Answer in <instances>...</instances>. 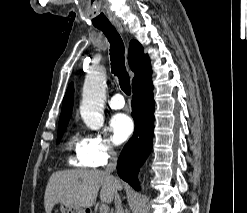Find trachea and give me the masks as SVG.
<instances>
[{
  "label": "trachea",
  "mask_w": 247,
  "mask_h": 213,
  "mask_svg": "<svg viewBox=\"0 0 247 213\" xmlns=\"http://www.w3.org/2000/svg\"><path fill=\"white\" fill-rule=\"evenodd\" d=\"M95 27L100 29L107 37L110 43V59L112 73L118 77L119 85L122 91L125 94L130 95V78L125 67L124 43L122 41L121 36L111 23L97 25Z\"/></svg>",
  "instance_id": "3493384b"
}]
</instances>
